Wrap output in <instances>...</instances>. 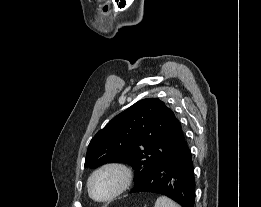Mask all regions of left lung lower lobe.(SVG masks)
I'll return each instance as SVG.
<instances>
[{"label": "left lung lower lobe", "mask_w": 261, "mask_h": 207, "mask_svg": "<svg viewBox=\"0 0 261 207\" xmlns=\"http://www.w3.org/2000/svg\"><path fill=\"white\" fill-rule=\"evenodd\" d=\"M157 193L167 196L182 207H194L195 178L192 154L184 137L178 150L137 183L130 193Z\"/></svg>", "instance_id": "1"}]
</instances>
